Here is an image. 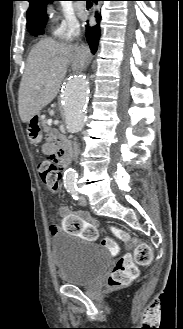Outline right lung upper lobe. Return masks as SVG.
I'll return each mask as SVG.
<instances>
[{
	"mask_svg": "<svg viewBox=\"0 0 183 329\" xmlns=\"http://www.w3.org/2000/svg\"><path fill=\"white\" fill-rule=\"evenodd\" d=\"M29 1V9L27 11V28L28 31L32 29L33 26L45 22L47 20L46 16V4L50 1L55 0H27Z\"/></svg>",
	"mask_w": 183,
	"mask_h": 329,
	"instance_id": "right-lung-upper-lobe-1",
	"label": "right lung upper lobe"
}]
</instances>
